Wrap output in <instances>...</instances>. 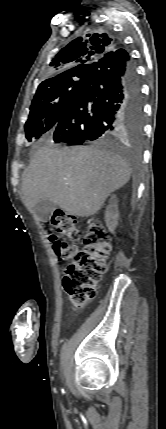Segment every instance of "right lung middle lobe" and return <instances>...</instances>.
Masks as SVG:
<instances>
[{"instance_id":"right-lung-middle-lobe-1","label":"right lung middle lobe","mask_w":166,"mask_h":429,"mask_svg":"<svg viewBox=\"0 0 166 429\" xmlns=\"http://www.w3.org/2000/svg\"><path fill=\"white\" fill-rule=\"evenodd\" d=\"M86 75L66 78L53 84L49 89L35 94L30 107L29 118L25 124L28 141L43 137L53 132L61 119L76 89L85 82ZM142 128L128 129L126 136L135 143H140Z\"/></svg>"}]
</instances>
